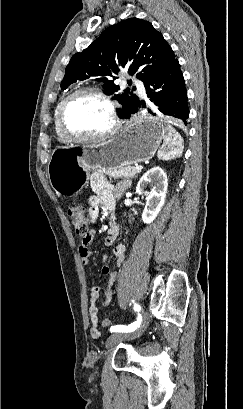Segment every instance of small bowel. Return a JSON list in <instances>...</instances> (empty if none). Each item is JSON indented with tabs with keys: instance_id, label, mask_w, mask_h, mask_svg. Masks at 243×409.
<instances>
[{
	"instance_id": "1",
	"label": "small bowel",
	"mask_w": 243,
	"mask_h": 409,
	"mask_svg": "<svg viewBox=\"0 0 243 409\" xmlns=\"http://www.w3.org/2000/svg\"><path fill=\"white\" fill-rule=\"evenodd\" d=\"M128 182L123 181L116 186H112L107 183L101 176L97 175L92 179V188L95 194L90 199V209L89 217L92 222H95L99 215L100 208L113 212L116 205V200L121 196L124 190L127 188ZM118 227L115 222L110 224L105 246L107 248H112L113 254L117 259V265L120 266L124 259L126 248L122 243L117 242L118 237ZM94 232L90 231L88 234L81 239L79 246V253L81 256L82 263L88 265L92 252L89 248L91 240L93 238ZM106 258V256L104 257ZM101 272L104 275H108V280L104 287L93 286L90 288L89 294V316L91 321L90 335L94 339H98L101 335L98 327V300L100 298L101 291L104 292V297L101 302V306L107 307L110 304L112 297V288L117 278V273L112 271L110 267L104 263L101 267Z\"/></svg>"
}]
</instances>
